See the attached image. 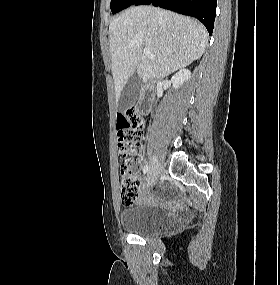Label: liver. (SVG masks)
I'll return each mask as SVG.
<instances>
[{"instance_id": "obj_1", "label": "liver", "mask_w": 280, "mask_h": 285, "mask_svg": "<svg viewBox=\"0 0 280 285\" xmlns=\"http://www.w3.org/2000/svg\"><path fill=\"white\" fill-rule=\"evenodd\" d=\"M208 32L196 20L151 6L131 7L109 26V43L116 104L136 72L143 83L161 79L200 59ZM154 59H148L144 48Z\"/></svg>"}]
</instances>
